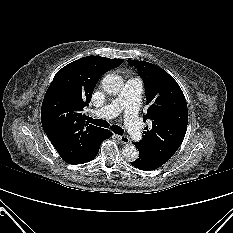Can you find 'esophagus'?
<instances>
[{
    "label": "esophagus",
    "instance_id": "1",
    "mask_svg": "<svg viewBox=\"0 0 233 233\" xmlns=\"http://www.w3.org/2000/svg\"><path fill=\"white\" fill-rule=\"evenodd\" d=\"M118 140L123 144H128L130 142L129 137L126 135L118 136Z\"/></svg>",
    "mask_w": 233,
    "mask_h": 233
}]
</instances>
